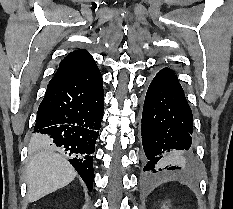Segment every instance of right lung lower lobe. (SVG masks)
<instances>
[{
    "label": "right lung lower lobe",
    "mask_w": 233,
    "mask_h": 209,
    "mask_svg": "<svg viewBox=\"0 0 233 209\" xmlns=\"http://www.w3.org/2000/svg\"><path fill=\"white\" fill-rule=\"evenodd\" d=\"M104 90L96 64L47 89L34 131L51 138L69 154V162L92 191L93 154L103 118Z\"/></svg>",
    "instance_id": "right-lung-lower-lobe-1"
}]
</instances>
